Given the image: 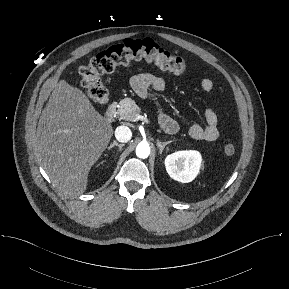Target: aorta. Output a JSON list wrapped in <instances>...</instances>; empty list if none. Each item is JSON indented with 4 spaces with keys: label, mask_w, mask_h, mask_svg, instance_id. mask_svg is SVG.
<instances>
[{
    "label": "aorta",
    "mask_w": 289,
    "mask_h": 289,
    "mask_svg": "<svg viewBox=\"0 0 289 289\" xmlns=\"http://www.w3.org/2000/svg\"><path fill=\"white\" fill-rule=\"evenodd\" d=\"M150 154V147L147 143H139L136 147V155L139 158L145 159Z\"/></svg>",
    "instance_id": "aorta-1"
}]
</instances>
